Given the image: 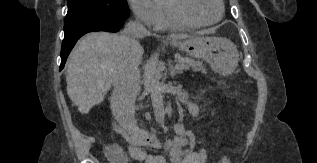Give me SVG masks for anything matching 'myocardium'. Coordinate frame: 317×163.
<instances>
[{
	"label": "myocardium",
	"mask_w": 317,
	"mask_h": 163,
	"mask_svg": "<svg viewBox=\"0 0 317 163\" xmlns=\"http://www.w3.org/2000/svg\"><path fill=\"white\" fill-rule=\"evenodd\" d=\"M220 8V12L217 18L210 21H200L189 18L182 7L183 0H166V8L170 17L177 23L186 27H201L209 26L219 22L224 14V3L223 0H217Z\"/></svg>",
	"instance_id": "obj_1"
}]
</instances>
